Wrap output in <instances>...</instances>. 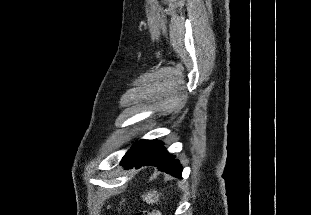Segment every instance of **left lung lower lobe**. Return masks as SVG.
<instances>
[{
	"label": "left lung lower lobe",
	"instance_id": "0a47b994",
	"mask_svg": "<svg viewBox=\"0 0 311 215\" xmlns=\"http://www.w3.org/2000/svg\"><path fill=\"white\" fill-rule=\"evenodd\" d=\"M121 164L126 165L127 169L156 166L162 172L182 178V167L179 162L166 151L162 142L156 140L137 141L127 151Z\"/></svg>",
	"mask_w": 311,
	"mask_h": 215
}]
</instances>
